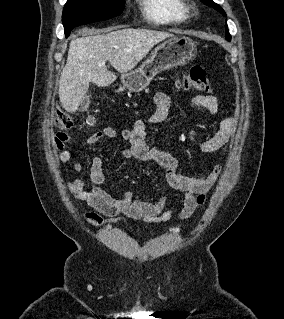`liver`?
<instances>
[{
	"label": "liver",
	"instance_id": "1",
	"mask_svg": "<svg viewBox=\"0 0 284 319\" xmlns=\"http://www.w3.org/2000/svg\"><path fill=\"white\" fill-rule=\"evenodd\" d=\"M96 33L70 42L68 57L59 81L62 107L75 112L86 96L89 84L106 87L116 80L106 61L122 74L132 70L162 40L173 37L168 32L148 29H121ZM111 31V32H110Z\"/></svg>",
	"mask_w": 284,
	"mask_h": 319
}]
</instances>
